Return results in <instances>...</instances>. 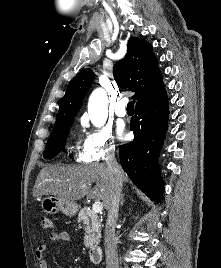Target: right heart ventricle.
<instances>
[{
    "instance_id": "e07e8e85",
    "label": "right heart ventricle",
    "mask_w": 221,
    "mask_h": 268,
    "mask_svg": "<svg viewBox=\"0 0 221 268\" xmlns=\"http://www.w3.org/2000/svg\"><path fill=\"white\" fill-rule=\"evenodd\" d=\"M73 152L76 161L82 162V163H89L91 160L89 159L85 147L81 146L79 141H76L74 147H73Z\"/></svg>"
}]
</instances>
